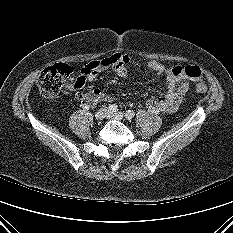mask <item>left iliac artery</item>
I'll return each instance as SVG.
<instances>
[{"instance_id":"obj_1","label":"left iliac artery","mask_w":233,"mask_h":233,"mask_svg":"<svg viewBox=\"0 0 233 233\" xmlns=\"http://www.w3.org/2000/svg\"><path fill=\"white\" fill-rule=\"evenodd\" d=\"M125 116H126L127 119H132V118H134L135 113H134L133 110H127L126 113H125Z\"/></svg>"}]
</instances>
